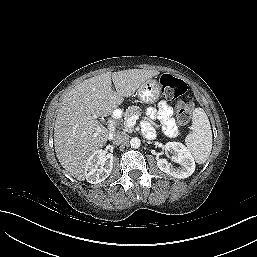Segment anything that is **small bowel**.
Here are the masks:
<instances>
[{"instance_id": "small-bowel-1", "label": "small bowel", "mask_w": 257, "mask_h": 257, "mask_svg": "<svg viewBox=\"0 0 257 257\" xmlns=\"http://www.w3.org/2000/svg\"><path fill=\"white\" fill-rule=\"evenodd\" d=\"M147 114L151 118H158L162 122L164 131L168 135H173L177 132L175 122L171 118L172 109L165 101H161L156 108H149Z\"/></svg>"}]
</instances>
